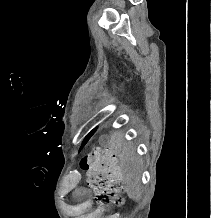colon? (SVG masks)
Wrapping results in <instances>:
<instances>
[{"instance_id":"colon-1","label":"colon","mask_w":211,"mask_h":218,"mask_svg":"<svg viewBox=\"0 0 211 218\" xmlns=\"http://www.w3.org/2000/svg\"><path fill=\"white\" fill-rule=\"evenodd\" d=\"M80 166L87 172L89 185L98 192V201L115 205L123 203L122 172L112 151L94 148L83 157Z\"/></svg>"}]
</instances>
